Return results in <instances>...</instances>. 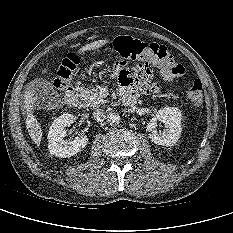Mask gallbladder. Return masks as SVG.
Listing matches in <instances>:
<instances>
[{
  "label": "gallbladder",
  "instance_id": "1",
  "mask_svg": "<svg viewBox=\"0 0 233 233\" xmlns=\"http://www.w3.org/2000/svg\"><path fill=\"white\" fill-rule=\"evenodd\" d=\"M30 88L34 94L41 99L46 107H54L58 105L57 93L53 85L44 79H35L31 82Z\"/></svg>",
  "mask_w": 233,
  "mask_h": 233
}]
</instances>
